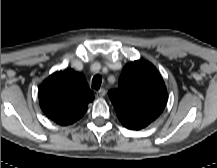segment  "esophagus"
Masks as SVG:
<instances>
[{"label":"esophagus","instance_id":"esophagus-1","mask_svg":"<svg viewBox=\"0 0 217 168\" xmlns=\"http://www.w3.org/2000/svg\"><path fill=\"white\" fill-rule=\"evenodd\" d=\"M105 94H106V90L104 88H101L98 91H96L95 97L102 98L105 96Z\"/></svg>","mask_w":217,"mask_h":168}]
</instances>
